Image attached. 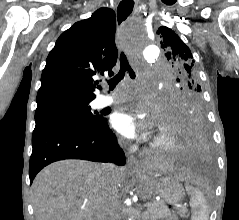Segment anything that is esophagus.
I'll return each instance as SVG.
<instances>
[{
  "label": "esophagus",
  "mask_w": 239,
  "mask_h": 220,
  "mask_svg": "<svg viewBox=\"0 0 239 220\" xmlns=\"http://www.w3.org/2000/svg\"><path fill=\"white\" fill-rule=\"evenodd\" d=\"M137 11V1L136 0H121L117 8V18L118 23L124 21L132 12ZM129 167L133 170H141V165L138 160L130 155L128 159Z\"/></svg>",
  "instance_id": "esophagus-1"
}]
</instances>
